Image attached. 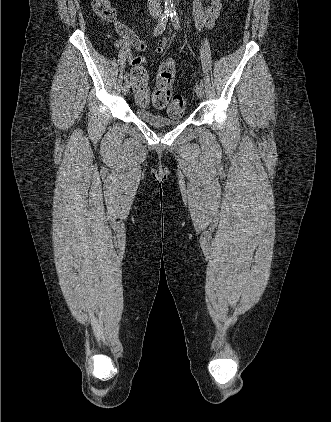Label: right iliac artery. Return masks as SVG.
<instances>
[{
	"mask_svg": "<svg viewBox=\"0 0 331 422\" xmlns=\"http://www.w3.org/2000/svg\"><path fill=\"white\" fill-rule=\"evenodd\" d=\"M168 16H169V12L164 11L162 16H161V19L159 20V23L155 27V30H154L155 35H159V34L163 33V31L166 28L167 22H168ZM128 79H129V73H125L124 80L128 81Z\"/></svg>",
	"mask_w": 331,
	"mask_h": 422,
	"instance_id": "1",
	"label": "right iliac artery"
}]
</instances>
